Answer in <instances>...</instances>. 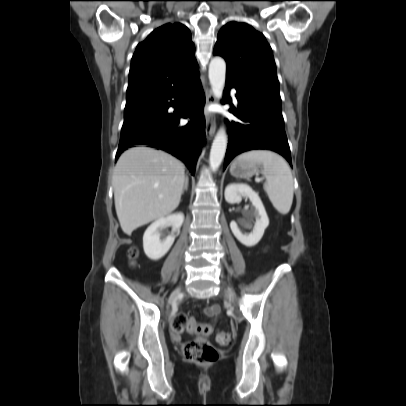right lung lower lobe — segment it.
I'll use <instances>...</instances> for the list:
<instances>
[{"label": "right lung lower lobe", "instance_id": "1", "mask_svg": "<svg viewBox=\"0 0 406 406\" xmlns=\"http://www.w3.org/2000/svg\"><path fill=\"white\" fill-rule=\"evenodd\" d=\"M181 100V109L169 113L168 108ZM162 109L158 117L132 129L121 131L116 157L136 145L161 149L183 161L195 173L200 149L205 142V121L202 113L205 96L199 75L187 84L160 98ZM190 118V122L179 126V119Z\"/></svg>", "mask_w": 406, "mask_h": 406}]
</instances>
